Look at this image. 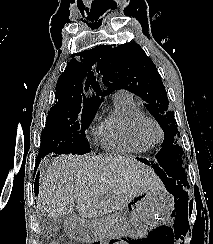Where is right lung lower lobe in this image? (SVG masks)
<instances>
[{
  "label": "right lung lower lobe",
  "instance_id": "1",
  "mask_svg": "<svg viewBox=\"0 0 213 244\" xmlns=\"http://www.w3.org/2000/svg\"><path fill=\"white\" fill-rule=\"evenodd\" d=\"M43 157L44 156L38 155L37 160H36V164H38L40 162V159L43 158ZM36 167H37V165H36ZM37 192H38V187L36 186L35 187V193H37Z\"/></svg>",
  "mask_w": 213,
  "mask_h": 244
}]
</instances>
